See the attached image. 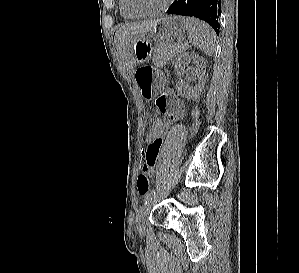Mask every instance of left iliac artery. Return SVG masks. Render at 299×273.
I'll use <instances>...</instances> for the list:
<instances>
[{
    "label": "left iliac artery",
    "instance_id": "left-iliac-artery-1",
    "mask_svg": "<svg viewBox=\"0 0 299 273\" xmlns=\"http://www.w3.org/2000/svg\"><path fill=\"white\" fill-rule=\"evenodd\" d=\"M155 195H156V192H155V191H152L151 194H150L149 196L146 197V199H145V205H146L148 202H150V201L153 199V197H155Z\"/></svg>",
    "mask_w": 299,
    "mask_h": 273
}]
</instances>
